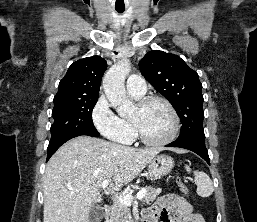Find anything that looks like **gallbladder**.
<instances>
[{
	"label": "gallbladder",
	"mask_w": 257,
	"mask_h": 222,
	"mask_svg": "<svg viewBox=\"0 0 257 222\" xmlns=\"http://www.w3.org/2000/svg\"><path fill=\"white\" fill-rule=\"evenodd\" d=\"M104 216V211L99 206H93L90 215L89 222H101Z\"/></svg>",
	"instance_id": "1"
}]
</instances>
